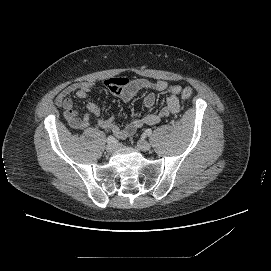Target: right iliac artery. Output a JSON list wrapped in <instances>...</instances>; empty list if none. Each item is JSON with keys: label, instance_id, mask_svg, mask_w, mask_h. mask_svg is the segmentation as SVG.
Instances as JSON below:
<instances>
[{"label": "right iliac artery", "instance_id": "82829eb1", "mask_svg": "<svg viewBox=\"0 0 271 271\" xmlns=\"http://www.w3.org/2000/svg\"><path fill=\"white\" fill-rule=\"evenodd\" d=\"M106 141H107L108 144H112V143L115 142V138L112 135H110V136L107 137Z\"/></svg>", "mask_w": 271, "mask_h": 271}]
</instances>
